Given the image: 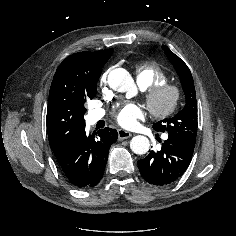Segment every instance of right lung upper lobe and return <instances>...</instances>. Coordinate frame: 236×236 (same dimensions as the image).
Listing matches in <instances>:
<instances>
[{
    "instance_id": "cb5924a9",
    "label": "right lung upper lobe",
    "mask_w": 236,
    "mask_h": 236,
    "mask_svg": "<svg viewBox=\"0 0 236 236\" xmlns=\"http://www.w3.org/2000/svg\"><path fill=\"white\" fill-rule=\"evenodd\" d=\"M112 52L113 49L75 53L57 68L50 87L46 118L50 147L57 160L64 156L78 131L85 126L86 109L81 90L99 80L103 58Z\"/></svg>"
}]
</instances>
